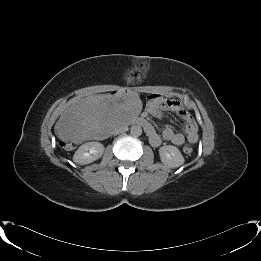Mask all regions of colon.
<instances>
[{
  "mask_svg": "<svg viewBox=\"0 0 261 261\" xmlns=\"http://www.w3.org/2000/svg\"><path fill=\"white\" fill-rule=\"evenodd\" d=\"M63 143V142H62ZM70 145H72V144H65V147H69ZM183 151L186 153V154H191L192 152H193V149H192V147L191 146H189V145H186L184 148H183Z\"/></svg>",
  "mask_w": 261,
  "mask_h": 261,
  "instance_id": "5ec220e1",
  "label": "colon"
}]
</instances>
